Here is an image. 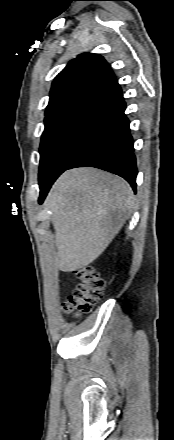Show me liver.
<instances>
[{"label":"liver","mask_w":174,"mask_h":440,"mask_svg":"<svg viewBox=\"0 0 174 440\" xmlns=\"http://www.w3.org/2000/svg\"><path fill=\"white\" fill-rule=\"evenodd\" d=\"M55 230L60 270L71 272L97 259L135 207L130 185L112 173L77 168L65 171L46 201Z\"/></svg>","instance_id":"obj_1"}]
</instances>
